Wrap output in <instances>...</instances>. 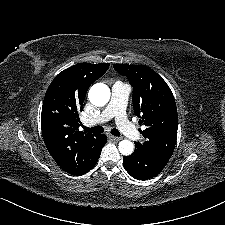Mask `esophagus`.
Segmentation results:
<instances>
[{"label":"esophagus","instance_id":"obj_1","mask_svg":"<svg viewBox=\"0 0 225 225\" xmlns=\"http://www.w3.org/2000/svg\"><path fill=\"white\" fill-rule=\"evenodd\" d=\"M109 139H111L113 141H120V140H122L121 137H116V136H109Z\"/></svg>","mask_w":225,"mask_h":225}]
</instances>
